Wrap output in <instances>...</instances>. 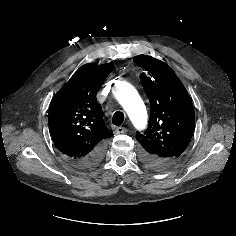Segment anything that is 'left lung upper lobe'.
<instances>
[{"instance_id":"left-lung-upper-lobe-1","label":"left lung upper lobe","mask_w":236,"mask_h":236,"mask_svg":"<svg viewBox=\"0 0 236 236\" xmlns=\"http://www.w3.org/2000/svg\"><path fill=\"white\" fill-rule=\"evenodd\" d=\"M133 60L145 71L140 80L150 101L148 128L144 133L136 132L141 159L150 168L163 170L179 159L192 138L193 104L168 65L147 55Z\"/></svg>"}]
</instances>
